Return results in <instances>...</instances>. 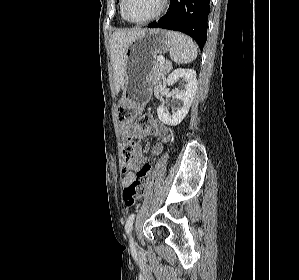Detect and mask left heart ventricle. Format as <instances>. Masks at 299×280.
<instances>
[{"mask_svg":"<svg viewBox=\"0 0 299 280\" xmlns=\"http://www.w3.org/2000/svg\"><path fill=\"white\" fill-rule=\"evenodd\" d=\"M161 0H128L126 11L132 20H144L154 14Z\"/></svg>","mask_w":299,"mask_h":280,"instance_id":"obj_1","label":"left heart ventricle"}]
</instances>
